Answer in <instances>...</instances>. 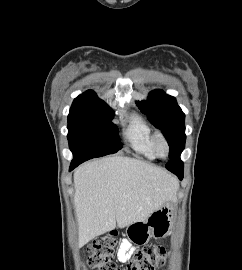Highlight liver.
<instances>
[{
	"instance_id": "liver-1",
	"label": "liver",
	"mask_w": 242,
	"mask_h": 270,
	"mask_svg": "<svg viewBox=\"0 0 242 270\" xmlns=\"http://www.w3.org/2000/svg\"><path fill=\"white\" fill-rule=\"evenodd\" d=\"M79 245L150 214L175 198L178 181L167 171L130 157L90 161L74 173Z\"/></svg>"
}]
</instances>
